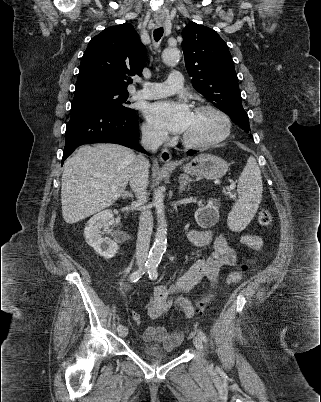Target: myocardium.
<instances>
[{
    "label": "myocardium",
    "instance_id": "obj_1",
    "mask_svg": "<svg viewBox=\"0 0 321 402\" xmlns=\"http://www.w3.org/2000/svg\"><path fill=\"white\" fill-rule=\"evenodd\" d=\"M202 110H209L216 113L223 121V130L219 136L207 141H195L187 138L185 135H182L181 137L182 142L187 147L198 148V149L213 147L226 140L231 133L232 122L230 117L225 111L212 104H200L193 109V111H202Z\"/></svg>",
    "mask_w": 321,
    "mask_h": 402
}]
</instances>
